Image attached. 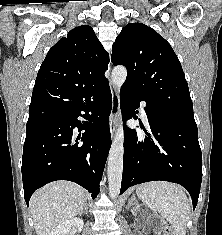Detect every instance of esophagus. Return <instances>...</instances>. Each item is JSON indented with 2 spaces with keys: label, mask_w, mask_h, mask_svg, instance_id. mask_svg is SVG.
I'll list each match as a JSON object with an SVG mask.
<instances>
[{
  "label": "esophagus",
  "mask_w": 222,
  "mask_h": 235,
  "mask_svg": "<svg viewBox=\"0 0 222 235\" xmlns=\"http://www.w3.org/2000/svg\"><path fill=\"white\" fill-rule=\"evenodd\" d=\"M112 91V109L109 118V125H110V133L111 137L113 138L118 124V117L120 112V97L115 86H111Z\"/></svg>",
  "instance_id": "1"
}]
</instances>
